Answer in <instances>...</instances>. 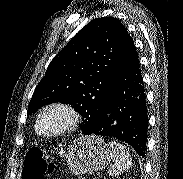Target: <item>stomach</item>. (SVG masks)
I'll use <instances>...</instances> for the list:
<instances>
[{
    "label": "stomach",
    "instance_id": "0dacf381",
    "mask_svg": "<svg viewBox=\"0 0 183 179\" xmlns=\"http://www.w3.org/2000/svg\"><path fill=\"white\" fill-rule=\"evenodd\" d=\"M57 153L66 159L70 171L75 175L99 171L105 168L111 159L110 149L98 135L79 137L67 150L60 147Z\"/></svg>",
    "mask_w": 183,
    "mask_h": 179
}]
</instances>
